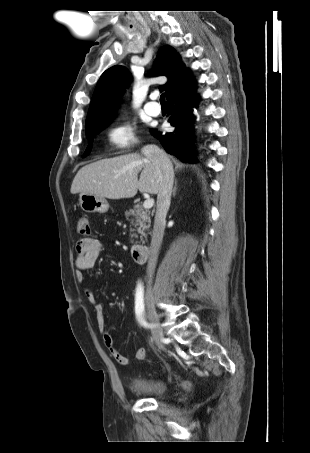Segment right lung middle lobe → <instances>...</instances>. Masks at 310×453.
Segmentation results:
<instances>
[{"label": "right lung middle lobe", "mask_w": 310, "mask_h": 453, "mask_svg": "<svg viewBox=\"0 0 310 453\" xmlns=\"http://www.w3.org/2000/svg\"><path fill=\"white\" fill-rule=\"evenodd\" d=\"M109 122L107 123H103V124H100V125H97V126H94V127H91V128H88L86 129V137L88 138L89 140V145L84 153V156L88 155L91 148H92V140L94 138V136L102 129H104L106 127V125L108 124Z\"/></svg>", "instance_id": "right-lung-middle-lobe-1"}]
</instances>
